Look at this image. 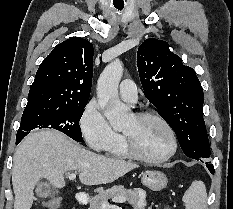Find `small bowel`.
<instances>
[{
    "label": "small bowel",
    "mask_w": 233,
    "mask_h": 209,
    "mask_svg": "<svg viewBox=\"0 0 233 209\" xmlns=\"http://www.w3.org/2000/svg\"><path fill=\"white\" fill-rule=\"evenodd\" d=\"M147 209H153V208L149 207V208H147Z\"/></svg>",
    "instance_id": "obj_1"
}]
</instances>
